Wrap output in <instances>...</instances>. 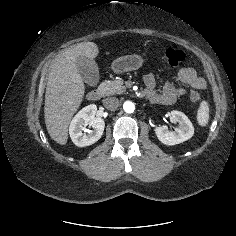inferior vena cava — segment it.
<instances>
[{"instance_id":"inferior-vena-cava-1","label":"inferior vena cava","mask_w":236,"mask_h":236,"mask_svg":"<svg viewBox=\"0 0 236 236\" xmlns=\"http://www.w3.org/2000/svg\"><path fill=\"white\" fill-rule=\"evenodd\" d=\"M103 105L106 109L115 110L119 106V100L116 97H108L103 100Z\"/></svg>"}]
</instances>
